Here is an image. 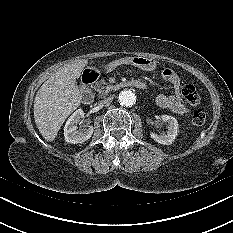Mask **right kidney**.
Instances as JSON below:
<instances>
[{"label": "right kidney", "instance_id": "ca27d5eb", "mask_svg": "<svg viewBox=\"0 0 233 233\" xmlns=\"http://www.w3.org/2000/svg\"><path fill=\"white\" fill-rule=\"evenodd\" d=\"M84 117L82 109L76 110L67 120L64 127V137L66 142L71 144L83 143L88 140L93 134V126L87 128H81L77 130V124Z\"/></svg>", "mask_w": 233, "mask_h": 233}]
</instances>
